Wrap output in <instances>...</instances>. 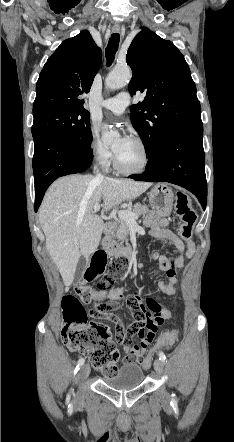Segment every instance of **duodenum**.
I'll list each match as a JSON object with an SVG mask.
<instances>
[{"label":"duodenum","mask_w":234,"mask_h":442,"mask_svg":"<svg viewBox=\"0 0 234 442\" xmlns=\"http://www.w3.org/2000/svg\"><path fill=\"white\" fill-rule=\"evenodd\" d=\"M115 224L112 222L106 223L104 225V235L109 238L113 236L115 232ZM109 253L116 259H126L131 260L134 257V250L130 247L117 248L114 246L109 247Z\"/></svg>","instance_id":"1"}]
</instances>
